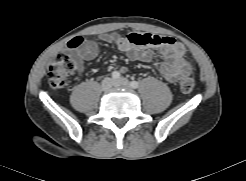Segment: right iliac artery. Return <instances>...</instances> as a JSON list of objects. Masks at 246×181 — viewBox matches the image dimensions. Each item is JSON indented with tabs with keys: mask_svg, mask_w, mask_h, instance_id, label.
I'll use <instances>...</instances> for the list:
<instances>
[{
	"mask_svg": "<svg viewBox=\"0 0 246 181\" xmlns=\"http://www.w3.org/2000/svg\"><path fill=\"white\" fill-rule=\"evenodd\" d=\"M113 79H119L120 78V73L118 71H114L111 74Z\"/></svg>",
	"mask_w": 246,
	"mask_h": 181,
	"instance_id": "right-iliac-artery-1",
	"label": "right iliac artery"
}]
</instances>
